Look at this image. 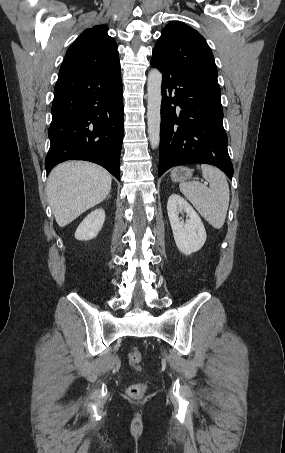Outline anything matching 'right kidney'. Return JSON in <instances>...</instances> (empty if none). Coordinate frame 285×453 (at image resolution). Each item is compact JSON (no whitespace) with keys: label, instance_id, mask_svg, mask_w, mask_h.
Instances as JSON below:
<instances>
[{"label":"right kidney","instance_id":"obj_1","mask_svg":"<svg viewBox=\"0 0 285 453\" xmlns=\"http://www.w3.org/2000/svg\"><path fill=\"white\" fill-rule=\"evenodd\" d=\"M104 221L105 211L102 208L94 210L80 223L75 232V238L81 241L95 238L101 230Z\"/></svg>","mask_w":285,"mask_h":453}]
</instances>
